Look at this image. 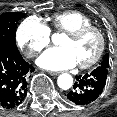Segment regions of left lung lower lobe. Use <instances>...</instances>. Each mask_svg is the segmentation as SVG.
I'll list each match as a JSON object with an SVG mask.
<instances>
[{
  "label": "left lung lower lobe",
  "instance_id": "left-lung-lower-lobe-1",
  "mask_svg": "<svg viewBox=\"0 0 117 117\" xmlns=\"http://www.w3.org/2000/svg\"><path fill=\"white\" fill-rule=\"evenodd\" d=\"M109 76V69L98 66L84 76H76L73 89L66 95L76 105H88L102 94Z\"/></svg>",
  "mask_w": 117,
  "mask_h": 117
}]
</instances>
